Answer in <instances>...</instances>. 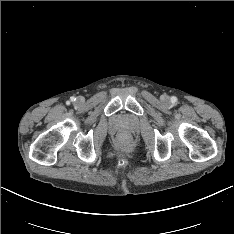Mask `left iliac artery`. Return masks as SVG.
I'll use <instances>...</instances> for the list:
<instances>
[{
	"label": "left iliac artery",
	"mask_w": 234,
	"mask_h": 234,
	"mask_svg": "<svg viewBox=\"0 0 234 234\" xmlns=\"http://www.w3.org/2000/svg\"><path fill=\"white\" fill-rule=\"evenodd\" d=\"M171 102H172L173 104H176V103H177V98H176L175 96H172V97H171Z\"/></svg>",
	"instance_id": "left-iliac-artery-1"
}]
</instances>
